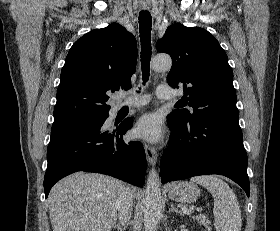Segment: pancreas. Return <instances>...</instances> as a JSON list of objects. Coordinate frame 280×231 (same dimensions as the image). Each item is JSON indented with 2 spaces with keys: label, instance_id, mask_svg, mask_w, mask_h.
I'll list each match as a JSON object with an SVG mask.
<instances>
[{
  "label": "pancreas",
  "instance_id": "pancreas-1",
  "mask_svg": "<svg viewBox=\"0 0 280 231\" xmlns=\"http://www.w3.org/2000/svg\"><path fill=\"white\" fill-rule=\"evenodd\" d=\"M193 219H197L198 223L205 225L207 231H211V221L207 215H193Z\"/></svg>",
  "mask_w": 280,
  "mask_h": 231
}]
</instances>
